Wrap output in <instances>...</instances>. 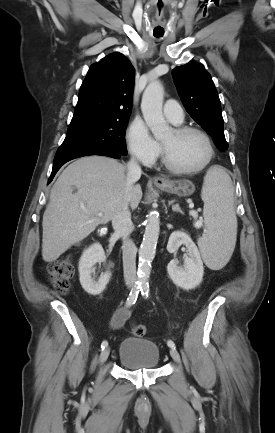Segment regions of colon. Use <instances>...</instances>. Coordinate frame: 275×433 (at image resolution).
Returning a JSON list of instances; mask_svg holds the SVG:
<instances>
[{
  "mask_svg": "<svg viewBox=\"0 0 275 433\" xmlns=\"http://www.w3.org/2000/svg\"><path fill=\"white\" fill-rule=\"evenodd\" d=\"M48 274L50 283L54 289L60 293H66L74 278L75 269L70 258H65L52 263L49 267ZM146 332L147 328L143 324H136L133 328V334L136 337H143Z\"/></svg>",
  "mask_w": 275,
  "mask_h": 433,
  "instance_id": "obj_1",
  "label": "colon"
}]
</instances>
